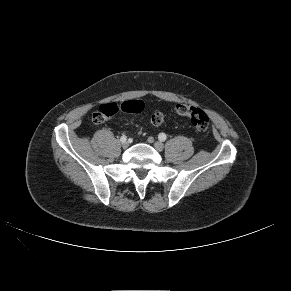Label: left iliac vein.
I'll list each match as a JSON object with an SVG mask.
<instances>
[{
  "instance_id": "1",
  "label": "left iliac vein",
  "mask_w": 291,
  "mask_h": 291,
  "mask_svg": "<svg viewBox=\"0 0 291 291\" xmlns=\"http://www.w3.org/2000/svg\"><path fill=\"white\" fill-rule=\"evenodd\" d=\"M154 147L157 151L161 152L164 148V145L162 142L156 141V142H154Z\"/></svg>"
}]
</instances>
